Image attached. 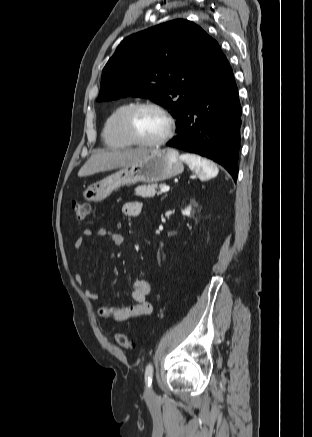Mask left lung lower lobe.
<instances>
[{"instance_id":"left-lung-lower-lobe-1","label":"left lung lower lobe","mask_w":312,"mask_h":437,"mask_svg":"<svg viewBox=\"0 0 312 437\" xmlns=\"http://www.w3.org/2000/svg\"><path fill=\"white\" fill-rule=\"evenodd\" d=\"M241 105L233 71L224 56L216 73L183 112L178 135L167 146L212 159L238 175Z\"/></svg>"}]
</instances>
